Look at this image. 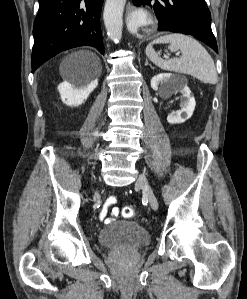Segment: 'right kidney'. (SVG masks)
Instances as JSON below:
<instances>
[{"label":"right kidney","mask_w":247,"mask_h":299,"mask_svg":"<svg viewBox=\"0 0 247 299\" xmlns=\"http://www.w3.org/2000/svg\"><path fill=\"white\" fill-rule=\"evenodd\" d=\"M98 86V79L92 80L86 85H73L68 82L60 83L58 91L62 101L68 106H79L84 103L90 93Z\"/></svg>","instance_id":"1"}]
</instances>
